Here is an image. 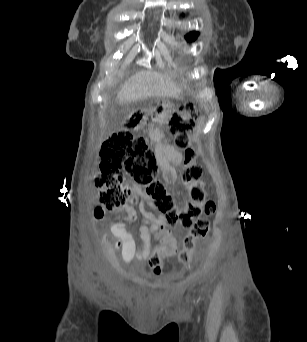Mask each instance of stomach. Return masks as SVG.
Listing matches in <instances>:
<instances>
[{"instance_id": "obj_1", "label": "stomach", "mask_w": 307, "mask_h": 342, "mask_svg": "<svg viewBox=\"0 0 307 342\" xmlns=\"http://www.w3.org/2000/svg\"><path fill=\"white\" fill-rule=\"evenodd\" d=\"M175 111L174 104L169 101H163L160 106L150 110L136 111L128 119L129 124L135 129H143L145 126L154 128L156 125L168 123Z\"/></svg>"}]
</instances>
